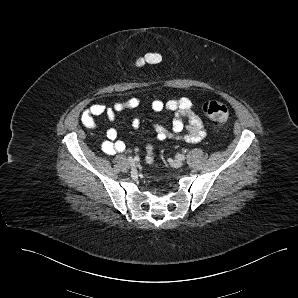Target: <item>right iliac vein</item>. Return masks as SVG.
<instances>
[{"instance_id": "right-iliac-vein-1", "label": "right iliac vein", "mask_w": 298, "mask_h": 298, "mask_svg": "<svg viewBox=\"0 0 298 298\" xmlns=\"http://www.w3.org/2000/svg\"><path fill=\"white\" fill-rule=\"evenodd\" d=\"M127 161H128V163H129L130 165H134V164H135V160H134L132 157H129V158L127 159Z\"/></svg>"}]
</instances>
